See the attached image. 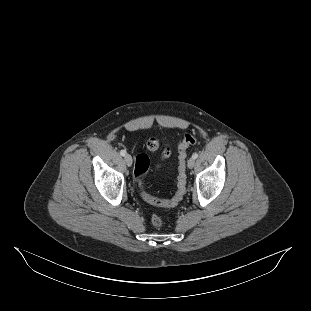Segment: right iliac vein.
<instances>
[{"mask_svg":"<svg viewBox=\"0 0 311 311\" xmlns=\"http://www.w3.org/2000/svg\"><path fill=\"white\" fill-rule=\"evenodd\" d=\"M124 160H125V163L127 164V166H131L132 165V157L129 154H126L124 156Z\"/></svg>","mask_w":311,"mask_h":311,"instance_id":"63e3f726","label":"right iliac vein"}]
</instances>
